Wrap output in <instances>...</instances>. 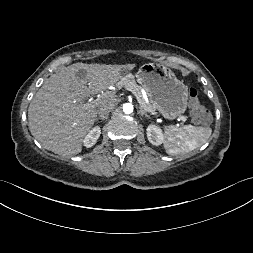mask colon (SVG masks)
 <instances>
[{
  "mask_svg": "<svg viewBox=\"0 0 253 253\" xmlns=\"http://www.w3.org/2000/svg\"><path fill=\"white\" fill-rule=\"evenodd\" d=\"M189 102L192 107V118L195 123L208 124L211 121L210 111L201 104L196 88L189 90Z\"/></svg>",
  "mask_w": 253,
  "mask_h": 253,
  "instance_id": "1",
  "label": "colon"
}]
</instances>
